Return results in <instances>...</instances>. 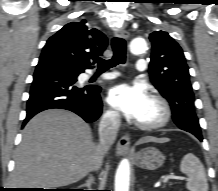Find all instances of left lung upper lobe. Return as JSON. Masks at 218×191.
I'll list each match as a JSON object with an SVG mask.
<instances>
[{
  "label": "left lung upper lobe",
  "instance_id": "left-lung-upper-lobe-1",
  "mask_svg": "<svg viewBox=\"0 0 218 191\" xmlns=\"http://www.w3.org/2000/svg\"><path fill=\"white\" fill-rule=\"evenodd\" d=\"M149 39L152 43L149 65L151 82L169 101L175 122L183 113L186 114L188 120L181 123V129L192 134L201 133L194 112L188 66L181 47L167 32L161 30L152 32Z\"/></svg>",
  "mask_w": 218,
  "mask_h": 191
}]
</instances>
